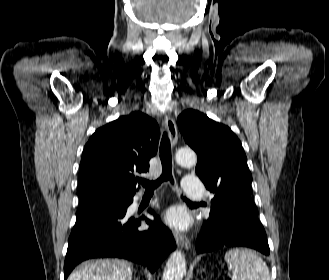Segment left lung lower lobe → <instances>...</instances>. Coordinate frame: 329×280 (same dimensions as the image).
Wrapping results in <instances>:
<instances>
[{
    "instance_id": "left-lung-lower-lobe-1",
    "label": "left lung lower lobe",
    "mask_w": 329,
    "mask_h": 280,
    "mask_svg": "<svg viewBox=\"0 0 329 280\" xmlns=\"http://www.w3.org/2000/svg\"><path fill=\"white\" fill-rule=\"evenodd\" d=\"M221 221L206 220L201 235L196 243L198 253L212 251L223 246H246L269 255L270 249L265 230L258 220V210L251 196L238 197L233 200Z\"/></svg>"
}]
</instances>
